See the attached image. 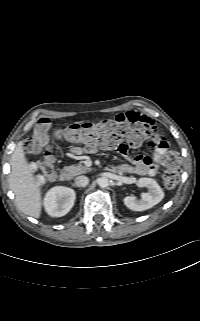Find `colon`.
I'll use <instances>...</instances> for the list:
<instances>
[{
    "label": "colon",
    "instance_id": "5ec220e1",
    "mask_svg": "<svg viewBox=\"0 0 200 321\" xmlns=\"http://www.w3.org/2000/svg\"><path fill=\"white\" fill-rule=\"evenodd\" d=\"M51 123L48 119L40 120L33 134L27 139L26 147L31 152L45 148V152L38 162V176L52 178L55 174V157L50 141ZM55 136L69 142L82 145L86 149L102 147L117 149L124 153L129 147H138L145 140L160 143L151 124L143 119H129L124 116L104 119L95 123L72 124L57 130ZM165 169L162 180L166 188L173 189L179 182L180 162L175 153H167L164 158Z\"/></svg>",
    "mask_w": 200,
    "mask_h": 321
}]
</instances>
